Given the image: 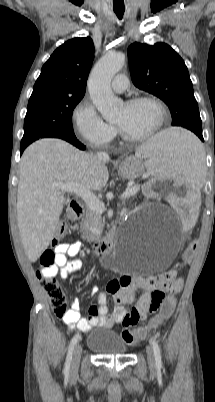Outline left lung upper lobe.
<instances>
[{
	"label": "left lung upper lobe",
	"instance_id": "5c2ea615",
	"mask_svg": "<svg viewBox=\"0 0 215 402\" xmlns=\"http://www.w3.org/2000/svg\"><path fill=\"white\" fill-rule=\"evenodd\" d=\"M132 82L169 107L172 126L202 135V123L193 85L183 59L167 44L133 43L128 47Z\"/></svg>",
	"mask_w": 215,
	"mask_h": 402
}]
</instances>
